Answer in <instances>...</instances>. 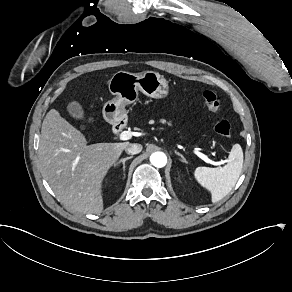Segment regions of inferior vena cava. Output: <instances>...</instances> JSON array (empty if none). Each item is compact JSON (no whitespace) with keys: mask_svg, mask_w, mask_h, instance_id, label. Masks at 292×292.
I'll return each mask as SVG.
<instances>
[{"mask_svg":"<svg viewBox=\"0 0 292 292\" xmlns=\"http://www.w3.org/2000/svg\"><path fill=\"white\" fill-rule=\"evenodd\" d=\"M142 145L141 144H131L128 147H126L125 151L128 154H138L142 151Z\"/></svg>","mask_w":292,"mask_h":292,"instance_id":"inferior-vena-cava-1","label":"inferior vena cava"}]
</instances>
